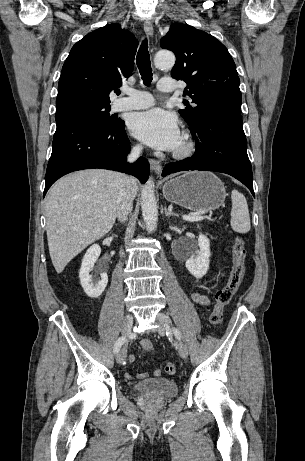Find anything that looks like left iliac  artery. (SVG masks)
<instances>
[{"label":"left iliac artery","mask_w":305,"mask_h":461,"mask_svg":"<svg viewBox=\"0 0 305 461\" xmlns=\"http://www.w3.org/2000/svg\"><path fill=\"white\" fill-rule=\"evenodd\" d=\"M173 332H174L175 336L177 337V339L180 340V338H181L180 332L176 328H173Z\"/></svg>","instance_id":"1"}]
</instances>
